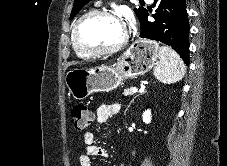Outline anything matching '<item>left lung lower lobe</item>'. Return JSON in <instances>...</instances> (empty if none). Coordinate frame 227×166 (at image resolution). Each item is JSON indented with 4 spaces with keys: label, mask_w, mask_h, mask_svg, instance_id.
Returning <instances> with one entry per match:
<instances>
[{
    "label": "left lung lower lobe",
    "mask_w": 227,
    "mask_h": 166,
    "mask_svg": "<svg viewBox=\"0 0 227 166\" xmlns=\"http://www.w3.org/2000/svg\"><path fill=\"white\" fill-rule=\"evenodd\" d=\"M155 21L149 22L146 11L140 22V37L170 45L189 64V21L185 0H155ZM155 5V4H154Z\"/></svg>",
    "instance_id": "obj_1"
}]
</instances>
